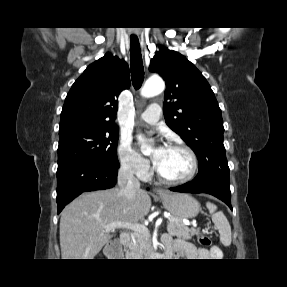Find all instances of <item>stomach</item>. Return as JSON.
Listing matches in <instances>:
<instances>
[{"mask_svg": "<svg viewBox=\"0 0 287 287\" xmlns=\"http://www.w3.org/2000/svg\"><path fill=\"white\" fill-rule=\"evenodd\" d=\"M159 198L171 214L181 219L194 218L200 211L199 202L189 194L165 191Z\"/></svg>", "mask_w": 287, "mask_h": 287, "instance_id": "1", "label": "stomach"}]
</instances>
